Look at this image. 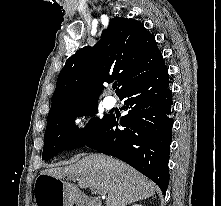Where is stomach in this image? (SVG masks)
Segmentation results:
<instances>
[{
  "mask_svg": "<svg viewBox=\"0 0 221 206\" xmlns=\"http://www.w3.org/2000/svg\"><path fill=\"white\" fill-rule=\"evenodd\" d=\"M81 193L69 183L47 174H40L35 186V206H73Z\"/></svg>",
  "mask_w": 221,
  "mask_h": 206,
  "instance_id": "1",
  "label": "stomach"
}]
</instances>
